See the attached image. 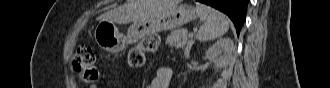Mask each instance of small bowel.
I'll list each match as a JSON object with an SVG mask.
<instances>
[{
  "mask_svg": "<svg viewBox=\"0 0 330 88\" xmlns=\"http://www.w3.org/2000/svg\"><path fill=\"white\" fill-rule=\"evenodd\" d=\"M171 78V71L166 67L157 69L152 81L147 85V88H167Z\"/></svg>",
  "mask_w": 330,
  "mask_h": 88,
  "instance_id": "small-bowel-1",
  "label": "small bowel"
}]
</instances>
